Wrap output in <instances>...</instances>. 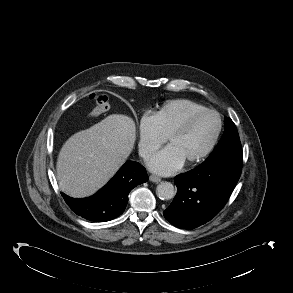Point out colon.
<instances>
[{"label": "colon", "mask_w": 293, "mask_h": 293, "mask_svg": "<svg viewBox=\"0 0 293 293\" xmlns=\"http://www.w3.org/2000/svg\"><path fill=\"white\" fill-rule=\"evenodd\" d=\"M89 97L93 103V108L90 111V116L97 117L105 113L109 109L110 103L107 95L96 92L90 94Z\"/></svg>", "instance_id": "obj_1"}]
</instances>
